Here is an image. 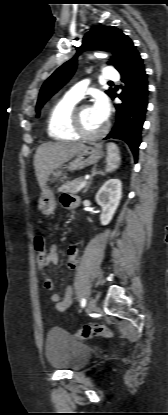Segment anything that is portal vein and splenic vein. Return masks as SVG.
<instances>
[{"mask_svg": "<svg viewBox=\"0 0 168 415\" xmlns=\"http://www.w3.org/2000/svg\"><path fill=\"white\" fill-rule=\"evenodd\" d=\"M86 184H87V180L85 179V180H83V181L81 182L80 186L78 187V191H80L81 189H83V188L86 186ZM78 191H77V192H78Z\"/></svg>", "mask_w": 168, "mask_h": 415, "instance_id": "1", "label": "portal vein and splenic vein"}]
</instances>
